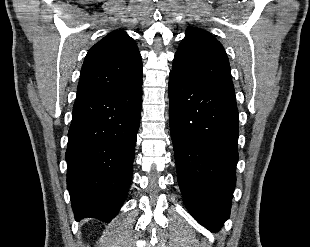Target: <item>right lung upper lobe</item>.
Instances as JSON below:
<instances>
[{"instance_id":"obj_1","label":"right lung upper lobe","mask_w":310,"mask_h":247,"mask_svg":"<svg viewBox=\"0 0 310 247\" xmlns=\"http://www.w3.org/2000/svg\"><path fill=\"white\" fill-rule=\"evenodd\" d=\"M141 83L142 61L137 45L126 32L115 30L88 51L77 97L128 90Z\"/></svg>"}]
</instances>
